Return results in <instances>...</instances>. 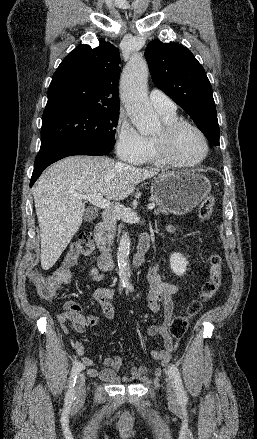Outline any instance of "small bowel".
<instances>
[{"mask_svg": "<svg viewBox=\"0 0 257 439\" xmlns=\"http://www.w3.org/2000/svg\"><path fill=\"white\" fill-rule=\"evenodd\" d=\"M170 230H172L170 228ZM147 237V236H143ZM148 238V237H147ZM161 262L154 264L148 273L149 295L147 306L152 312L163 311L164 321L161 324L150 325L147 334L150 337L161 336L164 338L165 348L163 350H151V357L160 364H168L172 354L177 347V342L168 335V327L174 312L173 296L177 293L176 285L162 279L160 275ZM93 278L100 279V276L93 272ZM114 290L111 287L98 288L93 292V299L101 313L109 320L114 319L115 312L111 300L114 297ZM57 320L60 324L70 322L72 329L77 333H83L87 328L94 326L98 317L93 309L90 314H85L83 306L76 301H67L63 305V312L58 314ZM73 349L78 356H81L82 366L87 368L90 377H99L101 380L110 383L144 381L147 368L145 366H133L126 376L119 375L124 367L120 356L106 357L103 360L105 368L98 370L92 359L85 357L86 348L80 341L73 343Z\"/></svg>", "mask_w": 257, "mask_h": 439, "instance_id": "1", "label": "small bowel"}]
</instances>
